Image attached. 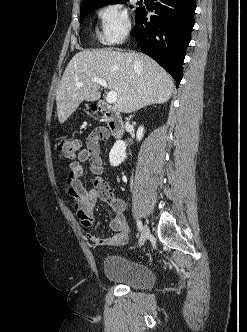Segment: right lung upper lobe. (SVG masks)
<instances>
[{"instance_id":"1","label":"right lung upper lobe","mask_w":247,"mask_h":332,"mask_svg":"<svg viewBox=\"0 0 247 332\" xmlns=\"http://www.w3.org/2000/svg\"><path fill=\"white\" fill-rule=\"evenodd\" d=\"M108 0H82L81 7L97 4V3H102Z\"/></svg>"}]
</instances>
